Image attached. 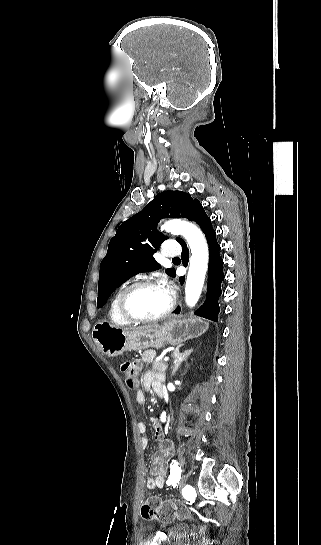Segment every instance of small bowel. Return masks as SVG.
<instances>
[{"label": "small bowel", "instance_id": "1", "mask_svg": "<svg viewBox=\"0 0 321 545\" xmlns=\"http://www.w3.org/2000/svg\"><path fill=\"white\" fill-rule=\"evenodd\" d=\"M162 381V375L149 371L145 373L142 380V385L145 390L153 388L157 394L161 393L163 395ZM136 402L139 405H143L145 403V396L142 391L137 392ZM137 428L141 435H144L146 433V426L144 423H138ZM153 428L155 438L158 440V449L151 458V477L146 482V486L148 489L162 488L164 486L165 477L167 474L166 464L173 453V446L170 441L163 437L159 425L154 423ZM140 443L141 447L143 449H146L148 446V439L143 436L140 440Z\"/></svg>", "mask_w": 321, "mask_h": 545}]
</instances>
